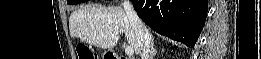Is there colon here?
I'll list each match as a JSON object with an SVG mask.
<instances>
[{"label":"colon","mask_w":261,"mask_h":59,"mask_svg":"<svg viewBox=\"0 0 261 59\" xmlns=\"http://www.w3.org/2000/svg\"><path fill=\"white\" fill-rule=\"evenodd\" d=\"M79 59H97V54L86 45H80L77 49Z\"/></svg>","instance_id":"colon-1"}]
</instances>
